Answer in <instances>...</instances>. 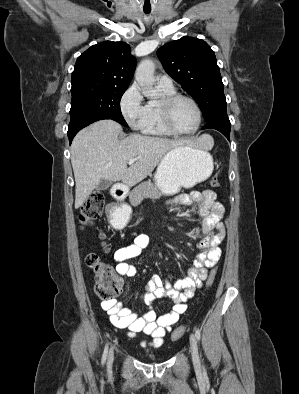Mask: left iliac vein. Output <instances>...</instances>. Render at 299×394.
I'll use <instances>...</instances> for the list:
<instances>
[{"label": "left iliac vein", "mask_w": 299, "mask_h": 394, "mask_svg": "<svg viewBox=\"0 0 299 394\" xmlns=\"http://www.w3.org/2000/svg\"><path fill=\"white\" fill-rule=\"evenodd\" d=\"M190 350L192 354V361L195 366H198L200 363V359L198 354L197 340L194 334L190 335Z\"/></svg>", "instance_id": "1"}]
</instances>
